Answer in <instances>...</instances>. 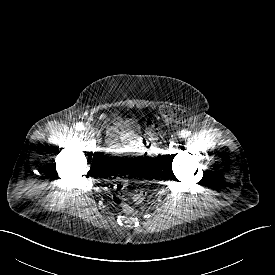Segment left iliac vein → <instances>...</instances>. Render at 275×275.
<instances>
[{
  "label": "left iliac vein",
  "mask_w": 275,
  "mask_h": 275,
  "mask_svg": "<svg viewBox=\"0 0 275 275\" xmlns=\"http://www.w3.org/2000/svg\"><path fill=\"white\" fill-rule=\"evenodd\" d=\"M172 140H173L174 142H177L178 136H177V135L172 136Z\"/></svg>",
  "instance_id": "obj_1"
}]
</instances>
